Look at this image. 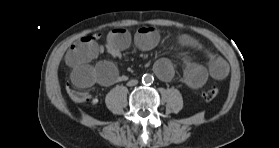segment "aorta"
I'll use <instances>...</instances> for the list:
<instances>
[{"label":"aorta","mask_w":279,"mask_h":148,"mask_svg":"<svg viewBox=\"0 0 279 148\" xmlns=\"http://www.w3.org/2000/svg\"><path fill=\"white\" fill-rule=\"evenodd\" d=\"M154 78L150 74H144L142 77V82L144 84H151L153 82Z\"/></svg>","instance_id":"aorta-1"}]
</instances>
